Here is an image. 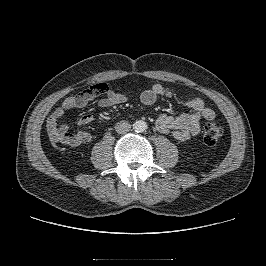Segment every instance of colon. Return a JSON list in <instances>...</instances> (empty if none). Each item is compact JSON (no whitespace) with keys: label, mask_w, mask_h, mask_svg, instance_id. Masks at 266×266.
Returning a JSON list of instances; mask_svg holds the SVG:
<instances>
[{"label":"colon","mask_w":266,"mask_h":266,"mask_svg":"<svg viewBox=\"0 0 266 266\" xmlns=\"http://www.w3.org/2000/svg\"><path fill=\"white\" fill-rule=\"evenodd\" d=\"M107 91V86L103 83L93 85L83 92L89 97H97ZM223 136V129L216 123H206L203 128V143L207 146L216 145Z\"/></svg>","instance_id":"obj_1"}]
</instances>
